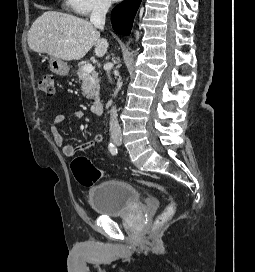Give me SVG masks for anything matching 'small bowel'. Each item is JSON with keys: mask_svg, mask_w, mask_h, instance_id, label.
Listing matches in <instances>:
<instances>
[{"mask_svg": "<svg viewBox=\"0 0 255 272\" xmlns=\"http://www.w3.org/2000/svg\"><path fill=\"white\" fill-rule=\"evenodd\" d=\"M84 116H85V113L83 110L77 109L74 111V117H76L77 119H82L84 118ZM66 119L67 118L65 115L59 114L54 118L50 126V131H51L54 143L56 144V146L61 148L62 153L66 157H73L79 150L80 151L90 150L97 145L103 144L104 137L102 134H97L93 137L92 140L81 143L78 146H73L71 144L65 143L64 137L59 129V126L63 124L66 121Z\"/></svg>", "mask_w": 255, "mask_h": 272, "instance_id": "obj_1", "label": "small bowel"}]
</instances>
